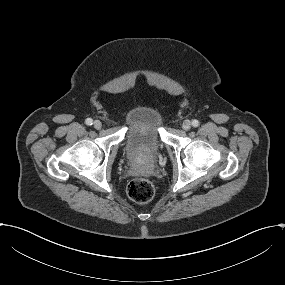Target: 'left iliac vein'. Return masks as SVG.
Returning <instances> with one entry per match:
<instances>
[{
    "label": "left iliac vein",
    "mask_w": 285,
    "mask_h": 285,
    "mask_svg": "<svg viewBox=\"0 0 285 285\" xmlns=\"http://www.w3.org/2000/svg\"><path fill=\"white\" fill-rule=\"evenodd\" d=\"M182 128L184 130H189L191 128V121L190 120H184L182 123Z\"/></svg>",
    "instance_id": "obj_1"
}]
</instances>
